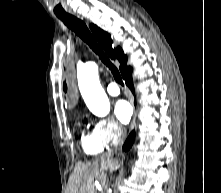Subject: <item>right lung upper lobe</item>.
I'll return each mask as SVG.
<instances>
[{
    "label": "right lung upper lobe",
    "instance_id": "right-lung-upper-lobe-1",
    "mask_svg": "<svg viewBox=\"0 0 221 193\" xmlns=\"http://www.w3.org/2000/svg\"><path fill=\"white\" fill-rule=\"evenodd\" d=\"M90 29L92 30L95 38L97 41L101 44V46L104 48V50L107 52V54L112 58L115 59L117 58L118 61L121 63L120 65V71L122 76L127 73L131 68L127 67V58L124 55L123 51L121 48H112V40L110 35L97 27L96 25L91 24Z\"/></svg>",
    "mask_w": 221,
    "mask_h": 193
}]
</instances>
